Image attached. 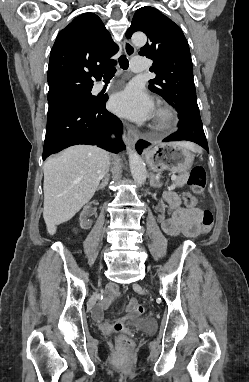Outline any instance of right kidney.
I'll return each mask as SVG.
<instances>
[{"label":"right kidney","mask_w":249,"mask_h":382,"mask_svg":"<svg viewBox=\"0 0 249 382\" xmlns=\"http://www.w3.org/2000/svg\"><path fill=\"white\" fill-rule=\"evenodd\" d=\"M83 211L81 212L80 214V226L81 228L85 229V230H90L91 229V224L94 223V218L93 217H87V214H93L94 213V210H95V205H84L83 207Z\"/></svg>","instance_id":"obj_1"}]
</instances>
